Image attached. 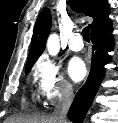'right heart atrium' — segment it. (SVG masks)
<instances>
[{
  "label": "right heart atrium",
  "mask_w": 118,
  "mask_h": 123,
  "mask_svg": "<svg viewBox=\"0 0 118 123\" xmlns=\"http://www.w3.org/2000/svg\"><path fill=\"white\" fill-rule=\"evenodd\" d=\"M34 77L41 97L50 105L68 97L71 84L65 79L60 67L48 56H42L34 66Z\"/></svg>",
  "instance_id": "obj_1"
}]
</instances>
